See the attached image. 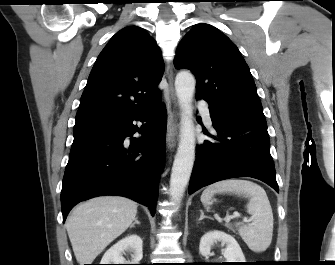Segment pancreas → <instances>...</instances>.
Wrapping results in <instances>:
<instances>
[{
	"mask_svg": "<svg viewBox=\"0 0 335 265\" xmlns=\"http://www.w3.org/2000/svg\"><path fill=\"white\" fill-rule=\"evenodd\" d=\"M225 226H226L227 228H229V229L233 230V228H232V225H231V224H228V223H227Z\"/></svg>",
	"mask_w": 335,
	"mask_h": 265,
	"instance_id": "obj_1",
	"label": "pancreas"
}]
</instances>
